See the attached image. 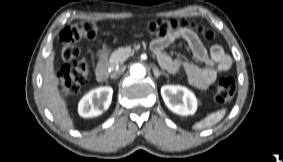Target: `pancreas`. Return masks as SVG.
<instances>
[{
    "instance_id": "cf45deb5",
    "label": "pancreas",
    "mask_w": 283,
    "mask_h": 162,
    "mask_svg": "<svg viewBox=\"0 0 283 162\" xmlns=\"http://www.w3.org/2000/svg\"><path fill=\"white\" fill-rule=\"evenodd\" d=\"M131 53L130 47H121L115 50L110 57V65L112 68L124 63Z\"/></svg>"
}]
</instances>
